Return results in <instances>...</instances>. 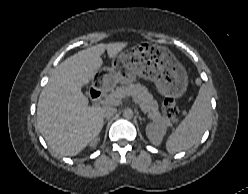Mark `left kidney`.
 Wrapping results in <instances>:
<instances>
[{
    "instance_id": "obj_1",
    "label": "left kidney",
    "mask_w": 248,
    "mask_h": 194,
    "mask_svg": "<svg viewBox=\"0 0 248 194\" xmlns=\"http://www.w3.org/2000/svg\"><path fill=\"white\" fill-rule=\"evenodd\" d=\"M166 126L161 123H149L146 126V135L148 139L154 144V145H160L165 133H166Z\"/></svg>"
}]
</instances>
